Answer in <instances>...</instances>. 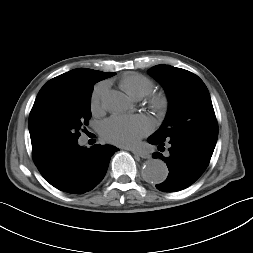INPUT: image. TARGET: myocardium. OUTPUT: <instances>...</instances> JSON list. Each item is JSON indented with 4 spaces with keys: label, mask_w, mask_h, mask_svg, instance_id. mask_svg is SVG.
I'll return each instance as SVG.
<instances>
[{
    "label": "myocardium",
    "mask_w": 253,
    "mask_h": 253,
    "mask_svg": "<svg viewBox=\"0 0 253 253\" xmlns=\"http://www.w3.org/2000/svg\"><path fill=\"white\" fill-rule=\"evenodd\" d=\"M148 106L159 116L164 115L169 106L168 97L162 92L153 93L148 97Z\"/></svg>",
    "instance_id": "f54148a6"
}]
</instances>
